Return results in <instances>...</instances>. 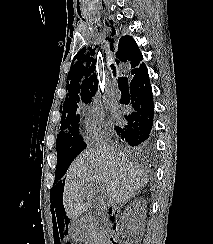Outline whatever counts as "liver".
Segmentation results:
<instances>
[{
  "label": "liver",
  "instance_id": "6515ba94",
  "mask_svg": "<svg viewBox=\"0 0 213 244\" xmlns=\"http://www.w3.org/2000/svg\"><path fill=\"white\" fill-rule=\"evenodd\" d=\"M148 182V175L132 164L127 154L110 145L81 153L66 173L63 205L68 218L76 220L95 196V183H102L109 206L127 202ZM86 198V203L84 199Z\"/></svg>",
  "mask_w": 213,
  "mask_h": 244
}]
</instances>
